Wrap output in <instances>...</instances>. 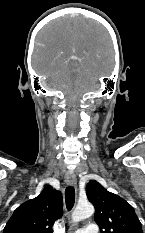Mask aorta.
Masks as SVG:
<instances>
[{"instance_id":"obj_1","label":"aorta","mask_w":145,"mask_h":233,"mask_svg":"<svg viewBox=\"0 0 145 233\" xmlns=\"http://www.w3.org/2000/svg\"><path fill=\"white\" fill-rule=\"evenodd\" d=\"M94 214V207L91 203L78 204L72 213L73 223H78Z\"/></svg>"}]
</instances>
